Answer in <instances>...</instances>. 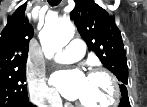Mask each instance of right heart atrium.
<instances>
[{
    "label": "right heart atrium",
    "instance_id": "1",
    "mask_svg": "<svg viewBox=\"0 0 147 107\" xmlns=\"http://www.w3.org/2000/svg\"><path fill=\"white\" fill-rule=\"evenodd\" d=\"M28 91L31 101L38 106L53 107L59 103L57 93L47 86L41 73H30L28 78Z\"/></svg>",
    "mask_w": 147,
    "mask_h": 107
}]
</instances>
